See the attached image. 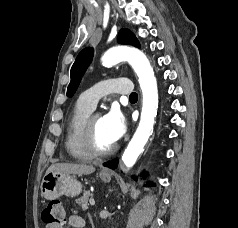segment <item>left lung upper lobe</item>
<instances>
[{
    "instance_id": "1",
    "label": "left lung upper lobe",
    "mask_w": 238,
    "mask_h": 228,
    "mask_svg": "<svg viewBox=\"0 0 238 228\" xmlns=\"http://www.w3.org/2000/svg\"><path fill=\"white\" fill-rule=\"evenodd\" d=\"M118 42L120 44L132 45L140 47V44L135 35L129 29H121L118 35ZM93 49L88 47L83 49L77 56L70 72L71 81L67 88V96L71 97L77 90L80 80L88 68L92 58Z\"/></svg>"
}]
</instances>
